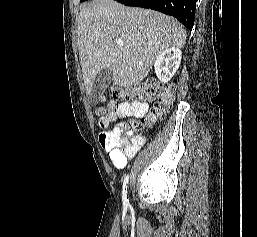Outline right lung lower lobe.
Returning a JSON list of instances; mask_svg holds the SVG:
<instances>
[{"instance_id":"98d812e1","label":"right lung lower lobe","mask_w":257,"mask_h":237,"mask_svg":"<svg viewBox=\"0 0 257 237\" xmlns=\"http://www.w3.org/2000/svg\"><path fill=\"white\" fill-rule=\"evenodd\" d=\"M127 6L148 8L177 18L190 31L194 25L197 0H116Z\"/></svg>"}]
</instances>
